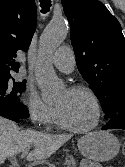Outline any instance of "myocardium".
Wrapping results in <instances>:
<instances>
[{"mask_svg": "<svg viewBox=\"0 0 125 167\" xmlns=\"http://www.w3.org/2000/svg\"><path fill=\"white\" fill-rule=\"evenodd\" d=\"M68 91L73 92V93H77V92L86 93L94 102V105L96 108V116H95L94 122L90 124L89 126L84 127V128H77V127L72 126L70 123H68L65 117L63 116L62 112L60 111V109L56 107L58 121H59L60 126L73 133H86V132H89L95 129L98 126L101 120V115H102L101 103L96 93L90 87L85 86V85H80V84L71 86L68 89Z\"/></svg>", "mask_w": 125, "mask_h": 167, "instance_id": "myocardium-1", "label": "myocardium"}]
</instances>
